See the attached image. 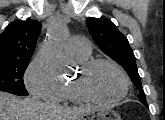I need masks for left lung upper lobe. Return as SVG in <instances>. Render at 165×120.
<instances>
[{
    "label": "left lung upper lobe",
    "mask_w": 165,
    "mask_h": 120,
    "mask_svg": "<svg viewBox=\"0 0 165 120\" xmlns=\"http://www.w3.org/2000/svg\"><path fill=\"white\" fill-rule=\"evenodd\" d=\"M87 27L101 50L127 71L134 85L141 91L138 95L139 100L148 107L138 74L135 56L127 38L107 18H88Z\"/></svg>",
    "instance_id": "5c2ea615"
}]
</instances>
